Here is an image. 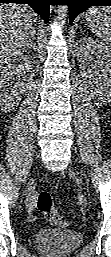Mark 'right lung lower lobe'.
Here are the masks:
<instances>
[{
    "mask_svg": "<svg viewBox=\"0 0 111 257\" xmlns=\"http://www.w3.org/2000/svg\"><path fill=\"white\" fill-rule=\"evenodd\" d=\"M52 0H0V3H22L29 4L45 21L49 16V5Z\"/></svg>",
    "mask_w": 111,
    "mask_h": 257,
    "instance_id": "obj_1",
    "label": "right lung lower lobe"
}]
</instances>
